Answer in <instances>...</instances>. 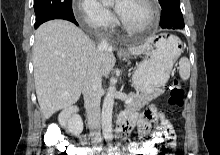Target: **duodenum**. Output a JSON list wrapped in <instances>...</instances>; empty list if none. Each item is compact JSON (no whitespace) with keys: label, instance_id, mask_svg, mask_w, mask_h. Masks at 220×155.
<instances>
[{"label":"duodenum","instance_id":"1","mask_svg":"<svg viewBox=\"0 0 220 155\" xmlns=\"http://www.w3.org/2000/svg\"><path fill=\"white\" fill-rule=\"evenodd\" d=\"M77 111L76 108H72L69 110H66L61 117V121L64 125L67 124L69 118ZM129 133V128L127 126V124L125 123V121L121 120L117 129H116V137L118 138H124L128 135ZM89 154V153H88Z\"/></svg>","mask_w":220,"mask_h":155}]
</instances>
